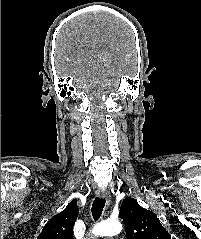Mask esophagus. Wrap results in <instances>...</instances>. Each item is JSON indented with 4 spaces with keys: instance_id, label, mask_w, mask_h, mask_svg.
<instances>
[{
    "instance_id": "1",
    "label": "esophagus",
    "mask_w": 201,
    "mask_h": 239,
    "mask_svg": "<svg viewBox=\"0 0 201 239\" xmlns=\"http://www.w3.org/2000/svg\"><path fill=\"white\" fill-rule=\"evenodd\" d=\"M97 196L99 198H102V199H105L106 202H107V205L109 206L110 202H111V195H110V192L106 189H99L97 192H96Z\"/></svg>"
}]
</instances>
